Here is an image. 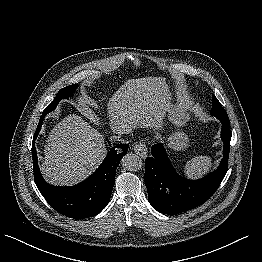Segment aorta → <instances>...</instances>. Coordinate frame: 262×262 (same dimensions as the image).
<instances>
[{"label": "aorta", "instance_id": "obj_1", "mask_svg": "<svg viewBox=\"0 0 262 262\" xmlns=\"http://www.w3.org/2000/svg\"><path fill=\"white\" fill-rule=\"evenodd\" d=\"M121 164L129 171H137L142 166V160L136 154L128 153L122 158Z\"/></svg>", "mask_w": 262, "mask_h": 262}]
</instances>
